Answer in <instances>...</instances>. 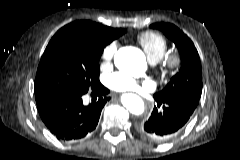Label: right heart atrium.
<instances>
[{
  "instance_id": "1",
  "label": "right heart atrium",
  "mask_w": 240,
  "mask_h": 160,
  "mask_svg": "<svg viewBox=\"0 0 240 160\" xmlns=\"http://www.w3.org/2000/svg\"><path fill=\"white\" fill-rule=\"evenodd\" d=\"M118 44L117 42L113 41L106 45L102 50L101 58L104 64H109L112 62L114 55L117 51Z\"/></svg>"
}]
</instances>
